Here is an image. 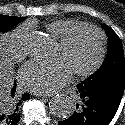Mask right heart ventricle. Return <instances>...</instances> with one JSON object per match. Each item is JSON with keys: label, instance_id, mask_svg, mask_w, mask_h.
I'll return each mask as SVG.
<instances>
[{"label": "right heart ventricle", "instance_id": "e07e8e85", "mask_svg": "<svg viewBox=\"0 0 125 125\" xmlns=\"http://www.w3.org/2000/svg\"><path fill=\"white\" fill-rule=\"evenodd\" d=\"M82 22L72 18L55 19L45 25L47 32L55 39H61L70 29Z\"/></svg>", "mask_w": 125, "mask_h": 125}]
</instances>
